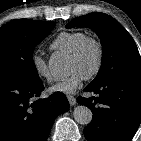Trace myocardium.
I'll use <instances>...</instances> for the list:
<instances>
[{
  "instance_id": "f54148a6",
  "label": "myocardium",
  "mask_w": 141,
  "mask_h": 141,
  "mask_svg": "<svg viewBox=\"0 0 141 141\" xmlns=\"http://www.w3.org/2000/svg\"><path fill=\"white\" fill-rule=\"evenodd\" d=\"M93 45L97 51V62L94 69L85 76V80H92L101 72L104 64V47L102 42L95 37H86L83 39L76 48L70 53V57L73 59L79 58L87 46Z\"/></svg>"
}]
</instances>
